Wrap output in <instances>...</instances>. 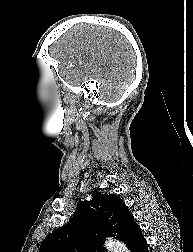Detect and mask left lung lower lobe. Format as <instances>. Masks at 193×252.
Returning a JSON list of instances; mask_svg holds the SVG:
<instances>
[{
  "label": "left lung lower lobe",
  "instance_id": "obj_1",
  "mask_svg": "<svg viewBox=\"0 0 193 252\" xmlns=\"http://www.w3.org/2000/svg\"><path fill=\"white\" fill-rule=\"evenodd\" d=\"M127 246L131 249V252H149L147 242L139 226L132 231Z\"/></svg>",
  "mask_w": 193,
  "mask_h": 252
}]
</instances>
